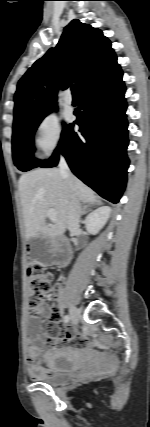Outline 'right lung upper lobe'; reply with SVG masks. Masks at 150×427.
<instances>
[{
  "label": "right lung upper lobe",
  "instance_id": "right-lung-upper-lobe-1",
  "mask_svg": "<svg viewBox=\"0 0 150 427\" xmlns=\"http://www.w3.org/2000/svg\"><path fill=\"white\" fill-rule=\"evenodd\" d=\"M117 57L102 31L74 19L56 48L37 60L18 82L14 123L56 107L59 87L75 83L81 92L117 66Z\"/></svg>",
  "mask_w": 150,
  "mask_h": 427
}]
</instances>
